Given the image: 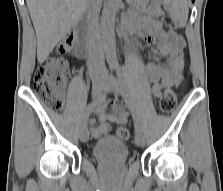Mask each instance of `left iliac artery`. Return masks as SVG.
<instances>
[{
  "instance_id": "44dca946",
  "label": "left iliac artery",
  "mask_w": 223,
  "mask_h": 191,
  "mask_svg": "<svg viewBox=\"0 0 223 191\" xmlns=\"http://www.w3.org/2000/svg\"><path fill=\"white\" fill-rule=\"evenodd\" d=\"M116 70H117L118 79H119V81L122 84L123 89H124L123 97L125 98V101H126L128 107H129V109L131 110V113H132L135 130L136 131H140L142 129V127H141V124H140V122L138 120V117H137V115L135 113L133 100H132V98L130 96V93H129V90H128L125 78H124V76H123V74L121 72V68H120L119 65H116Z\"/></svg>"
}]
</instances>
